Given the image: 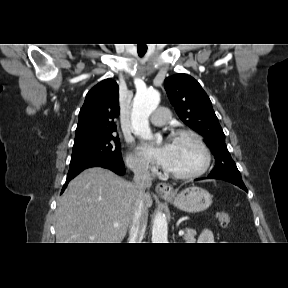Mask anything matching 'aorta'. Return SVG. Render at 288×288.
<instances>
[{
	"instance_id": "obj_1",
	"label": "aorta",
	"mask_w": 288,
	"mask_h": 288,
	"mask_svg": "<svg viewBox=\"0 0 288 288\" xmlns=\"http://www.w3.org/2000/svg\"><path fill=\"white\" fill-rule=\"evenodd\" d=\"M160 94L154 89L138 91L133 100L131 122L134 134L145 140H153L149 116L157 108ZM152 243H168V225L162 213L156 214L152 226Z\"/></svg>"
}]
</instances>
